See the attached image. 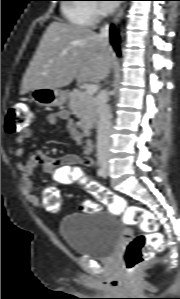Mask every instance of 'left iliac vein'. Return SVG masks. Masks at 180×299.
Returning <instances> with one entry per match:
<instances>
[{
  "mask_svg": "<svg viewBox=\"0 0 180 299\" xmlns=\"http://www.w3.org/2000/svg\"><path fill=\"white\" fill-rule=\"evenodd\" d=\"M108 171H109V167H108V165L106 164V165H105V173L108 174Z\"/></svg>",
  "mask_w": 180,
  "mask_h": 299,
  "instance_id": "4c4485c4",
  "label": "left iliac vein"
}]
</instances>
